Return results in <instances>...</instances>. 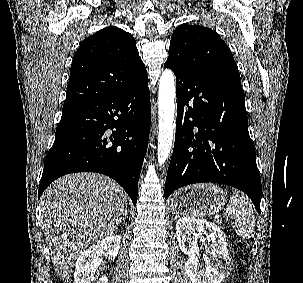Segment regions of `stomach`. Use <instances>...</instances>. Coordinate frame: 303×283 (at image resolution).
Returning a JSON list of instances; mask_svg holds the SVG:
<instances>
[{"instance_id": "0dacf381", "label": "stomach", "mask_w": 303, "mask_h": 283, "mask_svg": "<svg viewBox=\"0 0 303 283\" xmlns=\"http://www.w3.org/2000/svg\"><path fill=\"white\" fill-rule=\"evenodd\" d=\"M226 202L223 190L211 183L196 184L178 190L171 198L176 215L206 217L218 213Z\"/></svg>"}]
</instances>
